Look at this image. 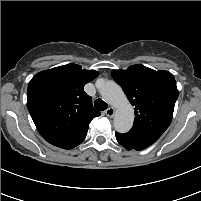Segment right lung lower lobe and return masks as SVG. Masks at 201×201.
Instances as JSON below:
<instances>
[{
  "label": "right lung lower lobe",
  "instance_id": "right-lung-lower-lobe-1",
  "mask_svg": "<svg viewBox=\"0 0 201 201\" xmlns=\"http://www.w3.org/2000/svg\"><path fill=\"white\" fill-rule=\"evenodd\" d=\"M83 140L84 139L79 140V141H75V142H72V143L57 145V147H60V148H63V149H71V148H74L77 145H79Z\"/></svg>",
  "mask_w": 201,
  "mask_h": 201
}]
</instances>
